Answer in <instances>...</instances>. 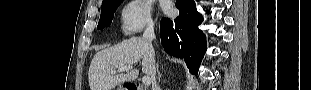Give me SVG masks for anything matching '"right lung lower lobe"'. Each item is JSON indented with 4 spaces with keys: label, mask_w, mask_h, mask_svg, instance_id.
Instances as JSON below:
<instances>
[{
    "label": "right lung lower lobe",
    "mask_w": 311,
    "mask_h": 90,
    "mask_svg": "<svg viewBox=\"0 0 311 90\" xmlns=\"http://www.w3.org/2000/svg\"><path fill=\"white\" fill-rule=\"evenodd\" d=\"M175 5L179 16L174 20L161 19V43L168 54L183 58L190 72L197 73L207 49L205 35L198 28L202 16L194 0H177Z\"/></svg>",
    "instance_id": "98d812e1"
}]
</instances>
